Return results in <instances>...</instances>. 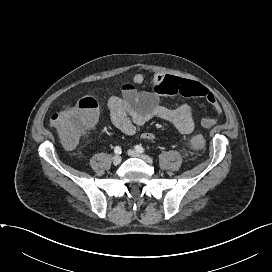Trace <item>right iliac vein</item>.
Returning <instances> with one entry per match:
<instances>
[{"label": "right iliac vein", "instance_id": "63e3f726", "mask_svg": "<svg viewBox=\"0 0 272 272\" xmlns=\"http://www.w3.org/2000/svg\"><path fill=\"white\" fill-rule=\"evenodd\" d=\"M121 156L120 155H115L113 158H112V162L114 165H119L121 163Z\"/></svg>", "mask_w": 272, "mask_h": 272}]
</instances>
